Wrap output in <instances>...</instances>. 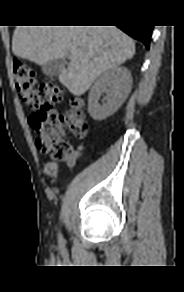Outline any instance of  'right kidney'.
Returning <instances> with one entry per match:
<instances>
[{
    "instance_id": "1",
    "label": "right kidney",
    "mask_w": 184,
    "mask_h": 292,
    "mask_svg": "<svg viewBox=\"0 0 184 292\" xmlns=\"http://www.w3.org/2000/svg\"><path fill=\"white\" fill-rule=\"evenodd\" d=\"M131 85V73L123 66L114 67L100 75L89 92L88 112L91 117L101 121L116 112L130 93ZM103 93L106 95L100 104Z\"/></svg>"
}]
</instances>
